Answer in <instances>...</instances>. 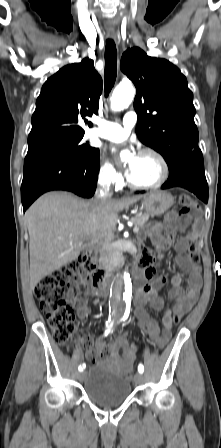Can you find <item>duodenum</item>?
<instances>
[{
  "mask_svg": "<svg viewBox=\"0 0 221 448\" xmlns=\"http://www.w3.org/2000/svg\"><path fill=\"white\" fill-rule=\"evenodd\" d=\"M88 256L85 272L89 282V291L97 296H105L108 291V273L98 266L92 251L88 253ZM144 260L145 253H142L138 257V267L142 266ZM138 283H141V272L139 273Z\"/></svg>",
  "mask_w": 221,
  "mask_h": 448,
  "instance_id": "duodenum-1",
  "label": "duodenum"
}]
</instances>
